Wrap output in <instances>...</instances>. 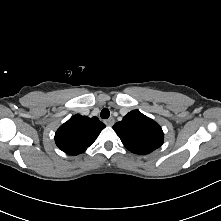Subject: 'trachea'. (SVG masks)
Returning a JSON list of instances; mask_svg holds the SVG:
<instances>
[{
  "label": "trachea",
  "mask_w": 221,
  "mask_h": 221,
  "mask_svg": "<svg viewBox=\"0 0 221 221\" xmlns=\"http://www.w3.org/2000/svg\"><path fill=\"white\" fill-rule=\"evenodd\" d=\"M100 116L102 119H107L110 116V111L107 108H104L101 113Z\"/></svg>",
  "instance_id": "3493384b"
}]
</instances>
